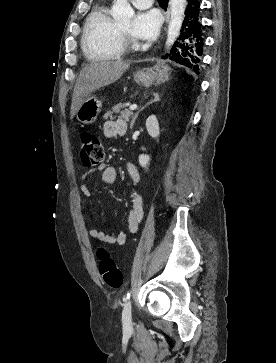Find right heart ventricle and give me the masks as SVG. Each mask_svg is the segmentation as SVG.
<instances>
[{
	"mask_svg": "<svg viewBox=\"0 0 276 363\" xmlns=\"http://www.w3.org/2000/svg\"><path fill=\"white\" fill-rule=\"evenodd\" d=\"M117 28L118 24L106 6L92 11L85 22L81 39L85 55L94 61L118 58L123 50L118 42Z\"/></svg>",
	"mask_w": 276,
	"mask_h": 363,
	"instance_id": "1",
	"label": "right heart ventricle"
}]
</instances>
